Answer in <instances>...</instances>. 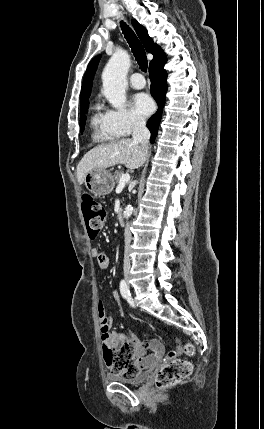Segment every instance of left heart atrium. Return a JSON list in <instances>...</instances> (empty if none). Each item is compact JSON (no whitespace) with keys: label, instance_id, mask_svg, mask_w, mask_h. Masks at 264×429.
<instances>
[{"label":"left heart atrium","instance_id":"obj_1","mask_svg":"<svg viewBox=\"0 0 264 429\" xmlns=\"http://www.w3.org/2000/svg\"><path fill=\"white\" fill-rule=\"evenodd\" d=\"M154 103L146 93H138L133 98V110L140 117H146L152 113Z\"/></svg>","mask_w":264,"mask_h":429}]
</instances>
